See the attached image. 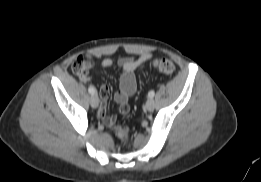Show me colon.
<instances>
[{"instance_id":"obj_1","label":"colon","mask_w":261,"mask_h":182,"mask_svg":"<svg viewBox=\"0 0 261 182\" xmlns=\"http://www.w3.org/2000/svg\"><path fill=\"white\" fill-rule=\"evenodd\" d=\"M154 68L161 73L164 74H172L175 71V65L173 61L169 58H158L153 60L152 62ZM73 73L81 79H87L89 77V66L85 60L82 58H77L72 64ZM110 128L114 131V133L122 139L127 145L130 144V132L128 128L123 127L121 125L115 124L112 121L110 124Z\"/></svg>"}]
</instances>
